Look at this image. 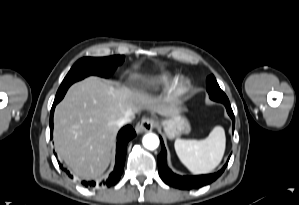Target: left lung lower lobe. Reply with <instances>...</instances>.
<instances>
[{"label":"left lung lower lobe","mask_w":299,"mask_h":205,"mask_svg":"<svg viewBox=\"0 0 299 205\" xmlns=\"http://www.w3.org/2000/svg\"><path fill=\"white\" fill-rule=\"evenodd\" d=\"M225 105L227 109V113L231 117L233 121V129L235 125V118L233 111L231 109L230 103L228 99L218 101ZM161 143H162V151L158 156V169H159V175L161 179L170 187H174L181 190H191V189H197L200 187H203L205 185L211 184L213 181H215L225 170L227 163L223 166V168L213 174L208 175H198V176H180L177 174H174L167 166L166 163V149L163 143L162 138L160 137Z\"/></svg>","instance_id":"0a47b994"}]
</instances>
